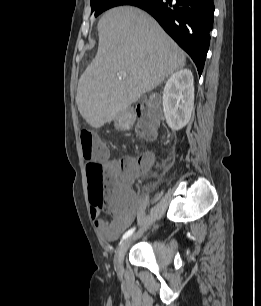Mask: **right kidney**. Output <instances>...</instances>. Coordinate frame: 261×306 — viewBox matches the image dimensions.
I'll use <instances>...</instances> for the list:
<instances>
[{"mask_svg": "<svg viewBox=\"0 0 261 306\" xmlns=\"http://www.w3.org/2000/svg\"><path fill=\"white\" fill-rule=\"evenodd\" d=\"M194 104V79L189 69L170 76L163 91V111L172 130L182 129L190 120Z\"/></svg>", "mask_w": 261, "mask_h": 306, "instance_id": "obj_1", "label": "right kidney"}]
</instances>
